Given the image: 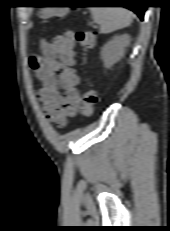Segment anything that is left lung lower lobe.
Listing matches in <instances>:
<instances>
[{"label":"left lung lower lobe","mask_w":170,"mask_h":231,"mask_svg":"<svg viewBox=\"0 0 170 231\" xmlns=\"http://www.w3.org/2000/svg\"><path fill=\"white\" fill-rule=\"evenodd\" d=\"M126 3L129 4V6L124 7H127L130 10L134 11L139 16V18L143 20L146 7L141 5V2L139 0H130Z\"/></svg>","instance_id":"0a47b994"}]
</instances>
